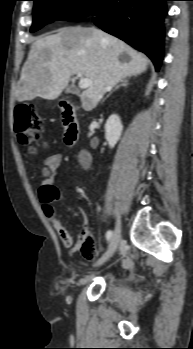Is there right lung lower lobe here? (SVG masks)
Returning <instances> with one entry per match:
<instances>
[{
  "instance_id": "1",
  "label": "right lung lower lobe",
  "mask_w": 193,
  "mask_h": 349,
  "mask_svg": "<svg viewBox=\"0 0 193 349\" xmlns=\"http://www.w3.org/2000/svg\"><path fill=\"white\" fill-rule=\"evenodd\" d=\"M168 0H100L93 22L144 52L159 70L163 58V18Z\"/></svg>"
}]
</instances>
